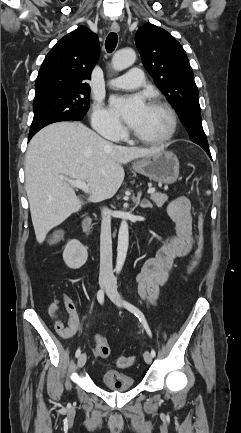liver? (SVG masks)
<instances>
[{
  "mask_svg": "<svg viewBox=\"0 0 241 433\" xmlns=\"http://www.w3.org/2000/svg\"><path fill=\"white\" fill-rule=\"evenodd\" d=\"M162 149L115 145L79 122H58L40 130L31 139L25 160V188L38 243L82 208L83 202L61 176L86 181L88 201L99 202L120 188L122 164Z\"/></svg>",
  "mask_w": 241,
  "mask_h": 433,
  "instance_id": "6515ba94",
  "label": "liver"
}]
</instances>
